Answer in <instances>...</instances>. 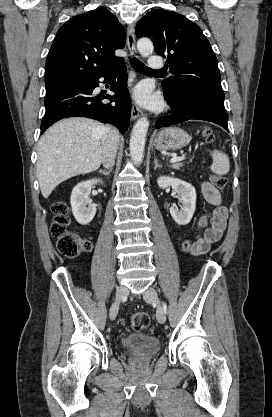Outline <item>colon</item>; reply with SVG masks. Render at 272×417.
I'll list each match as a JSON object with an SVG mask.
<instances>
[{"instance_id": "colon-1", "label": "colon", "mask_w": 272, "mask_h": 417, "mask_svg": "<svg viewBox=\"0 0 272 417\" xmlns=\"http://www.w3.org/2000/svg\"><path fill=\"white\" fill-rule=\"evenodd\" d=\"M204 137L208 143H212L215 140V136L211 129H205ZM212 185L219 190L224 189L227 180L221 175H212L210 178ZM52 212L54 214L53 223L51 226L52 235L57 240V248L59 252L69 258H75L82 253L88 252L92 244L88 240H85L75 233L67 231L66 227L69 224L68 206L63 201H56L52 205ZM202 236H197L193 239L185 240L181 243L180 249L182 252L187 253L202 240ZM149 326V317L147 314L138 312L131 316L130 327L134 331H142Z\"/></svg>"}]
</instances>
